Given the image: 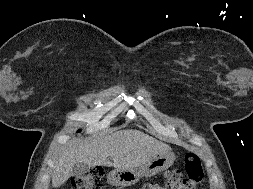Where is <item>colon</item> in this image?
<instances>
[{"instance_id":"obj_1","label":"colon","mask_w":253,"mask_h":189,"mask_svg":"<svg viewBox=\"0 0 253 189\" xmlns=\"http://www.w3.org/2000/svg\"><path fill=\"white\" fill-rule=\"evenodd\" d=\"M103 169L96 167L72 179L73 189H105ZM204 180V171L199 156L187 153L184 171L171 170L167 175V189H198Z\"/></svg>"}]
</instances>
